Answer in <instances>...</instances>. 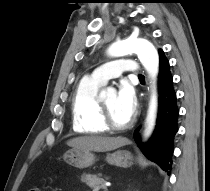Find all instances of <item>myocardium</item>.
<instances>
[{
  "label": "myocardium",
  "instance_id": "1",
  "mask_svg": "<svg viewBox=\"0 0 210 191\" xmlns=\"http://www.w3.org/2000/svg\"><path fill=\"white\" fill-rule=\"evenodd\" d=\"M99 112H100V121L102 125L105 127V129L108 131H123L130 128L133 124V118H130V120L127 123L123 125H117L113 121L110 112L106 107L105 103L103 102V100H99Z\"/></svg>",
  "mask_w": 210,
  "mask_h": 191
}]
</instances>
